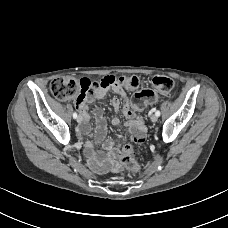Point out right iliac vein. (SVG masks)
Returning a JSON list of instances; mask_svg holds the SVG:
<instances>
[{"instance_id": "63e3f726", "label": "right iliac vein", "mask_w": 228, "mask_h": 228, "mask_svg": "<svg viewBox=\"0 0 228 228\" xmlns=\"http://www.w3.org/2000/svg\"><path fill=\"white\" fill-rule=\"evenodd\" d=\"M82 121V117L81 116H78L77 117V122L80 123Z\"/></svg>"}]
</instances>
